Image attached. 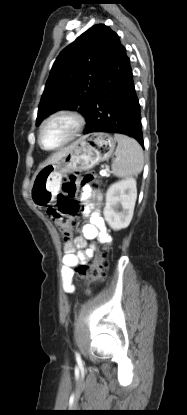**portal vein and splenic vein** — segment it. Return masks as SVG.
<instances>
[{
	"label": "portal vein and splenic vein",
	"mask_w": 187,
	"mask_h": 415,
	"mask_svg": "<svg viewBox=\"0 0 187 415\" xmlns=\"http://www.w3.org/2000/svg\"><path fill=\"white\" fill-rule=\"evenodd\" d=\"M101 175L103 176H108V174L106 172L102 173Z\"/></svg>",
	"instance_id": "18ae733b"
}]
</instances>
